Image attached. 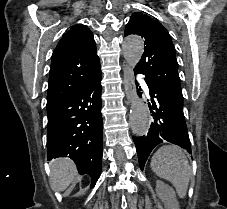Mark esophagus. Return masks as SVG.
Instances as JSON below:
<instances>
[{
	"label": "esophagus",
	"instance_id": "esophagus-1",
	"mask_svg": "<svg viewBox=\"0 0 227 209\" xmlns=\"http://www.w3.org/2000/svg\"><path fill=\"white\" fill-rule=\"evenodd\" d=\"M124 89L126 92L127 101L130 102V106L136 107L137 103L132 102L136 98L133 73L128 65L124 67Z\"/></svg>",
	"mask_w": 227,
	"mask_h": 209
}]
</instances>
